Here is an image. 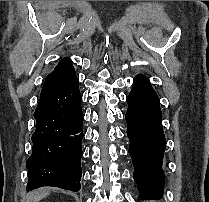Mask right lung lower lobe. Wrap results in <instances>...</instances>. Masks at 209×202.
Masks as SVG:
<instances>
[{
  "label": "right lung lower lobe",
  "instance_id": "1",
  "mask_svg": "<svg viewBox=\"0 0 209 202\" xmlns=\"http://www.w3.org/2000/svg\"><path fill=\"white\" fill-rule=\"evenodd\" d=\"M79 82L67 58L45 79L34 113L32 154L26 162L27 190L42 186L80 190L84 115Z\"/></svg>",
  "mask_w": 209,
  "mask_h": 202
}]
</instances>
